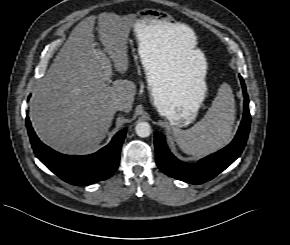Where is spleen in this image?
<instances>
[{"label": "spleen", "mask_w": 290, "mask_h": 245, "mask_svg": "<svg viewBox=\"0 0 290 245\" xmlns=\"http://www.w3.org/2000/svg\"><path fill=\"white\" fill-rule=\"evenodd\" d=\"M234 121V95L231 87L223 83L203 119L187 130L173 127V135L184 153L200 157L219 150L229 142Z\"/></svg>", "instance_id": "obj_1"}]
</instances>
